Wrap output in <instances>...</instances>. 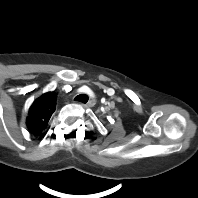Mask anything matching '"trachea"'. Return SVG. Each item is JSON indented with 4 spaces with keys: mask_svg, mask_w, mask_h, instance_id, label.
I'll list each match as a JSON object with an SVG mask.
<instances>
[{
    "mask_svg": "<svg viewBox=\"0 0 198 198\" xmlns=\"http://www.w3.org/2000/svg\"><path fill=\"white\" fill-rule=\"evenodd\" d=\"M75 101H79V102H82V103H87L88 101V96L86 94H80L78 96H76L74 98Z\"/></svg>",
    "mask_w": 198,
    "mask_h": 198,
    "instance_id": "1",
    "label": "trachea"
}]
</instances>
